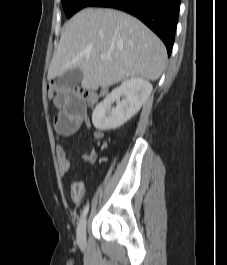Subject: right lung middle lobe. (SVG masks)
<instances>
[{
    "mask_svg": "<svg viewBox=\"0 0 227 265\" xmlns=\"http://www.w3.org/2000/svg\"><path fill=\"white\" fill-rule=\"evenodd\" d=\"M93 0H61L63 9L68 18L80 9L87 7Z\"/></svg>",
    "mask_w": 227,
    "mask_h": 265,
    "instance_id": "obj_1",
    "label": "right lung middle lobe"
}]
</instances>
